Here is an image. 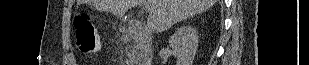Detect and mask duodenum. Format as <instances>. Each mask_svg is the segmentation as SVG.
Listing matches in <instances>:
<instances>
[{"label": "duodenum", "mask_w": 309, "mask_h": 65, "mask_svg": "<svg viewBox=\"0 0 309 65\" xmlns=\"http://www.w3.org/2000/svg\"><path fill=\"white\" fill-rule=\"evenodd\" d=\"M127 33L132 39L139 43L143 50L144 59L140 65H151V37L148 29L138 22H129L127 25Z\"/></svg>", "instance_id": "obj_1"}]
</instances>
